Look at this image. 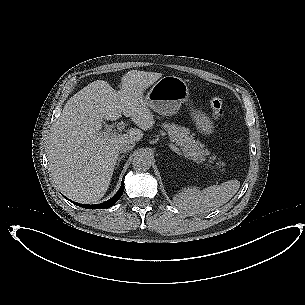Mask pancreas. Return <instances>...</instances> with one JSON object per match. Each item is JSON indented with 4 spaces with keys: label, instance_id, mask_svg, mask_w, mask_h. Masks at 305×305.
Returning a JSON list of instances; mask_svg holds the SVG:
<instances>
[{
    "label": "pancreas",
    "instance_id": "1",
    "mask_svg": "<svg viewBox=\"0 0 305 305\" xmlns=\"http://www.w3.org/2000/svg\"><path fill=\"white\" fill-rule=\"evenodd\" d=\"M166 130V134L169 136L172 142H175V145L179 147V149L190 156L193 160L196 161H206V164L211 170L217 168L220 171H223L222 164L220 162H216V166H212L217 158L215 155H210V152L203 148V145L195 140L193 134L190 132L188 128L176 125V124H166L164 126ZM215 172V170H213Z\"/></svg>",
    "mask_w": 305,
    "mask_h": 305
}]
</instances>
